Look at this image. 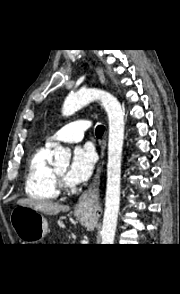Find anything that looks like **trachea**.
<instances>
[{
  "mask_svg": "<svg viewBox=\"0 0 180 294\" xmlns=\"http://www.w3.org/2000/svg\"><path fill=\"white\" fill-rule=\"evenodd\" d=\"M104 126L103 125H98L96 127V136L97 137H101L103 135V132H104Z\"/></svg>",
  "mask_w": 180,
  "mask_h": 294,
  "instance_id": "3493384b",
  "label": "trachea"
}]
</instances>
